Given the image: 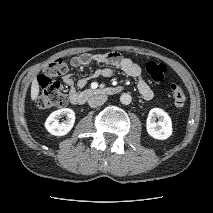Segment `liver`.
<instances>
[{
	"instance_id": "liver-1",
	"label": "liver",
	"mask_w": 213,
	"mask_h": 213,
	"mask_svg": "<svg viewBox=\"0 0 213 213\" xmlns=\"http://www.w3.org/2000/svg\"><path fill=\"white\" fill-rule=\"evenodd\" d=\"M39 95V84L36 79L33 80L31 85V100L34 101Z\"/></svg>"
}]
</instances>
